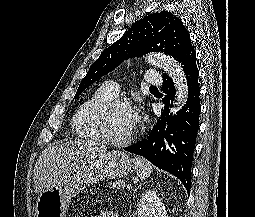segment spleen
<instances>
[{
	"label": "spleen",
	"mask_w": 255,
	"mask_h": 217,
	"mask_svg": "<svg viewBox=\"0 0 255 217\" xmlns=\"http://www.w3.org/2000/svg\"><path fill=\"white\" fill-rule=\"evenodd\" d=\"M135 170L141 179H146L152 173L151 163L142 157L133 158Z\"/></svg>",
	"instance_id": "1"
}]
</instances>
